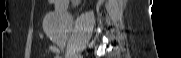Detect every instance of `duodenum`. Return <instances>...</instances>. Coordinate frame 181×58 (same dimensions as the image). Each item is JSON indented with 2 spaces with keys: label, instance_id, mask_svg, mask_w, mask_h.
Masks as SVG:
<instances>
[{
  "label": "duodenum",
  "instance_id": "duodenum-1",
  "mask_svg": "<svg viewBox=\"0 0 181 58\" xmlns=\"http://www.w3.org/2000/svg\"><path fill=\"white\" fill-rule=\"evenodd\" d=\"M74 2H76V1H74ZM54 4H55L57 9L61 10L67 6L68 1L67 0H55Z\"/></svg>",
  "mask_w": 181,
  "mask_h": 58
}]
</instances>
